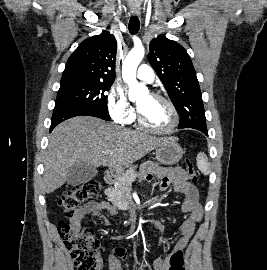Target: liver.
Segmentation results:
<instances>
[{"label":"liver","mask_w":267,"mask_h":270,"mask_svg":"<svg viewBox=\"0 0 267 270\" xmlns=\"http://www.w3.org/2000/svg\"><path fill=\"white\" fill-rule=\"evenodd\" d=\"M168 139L95 117L78 116L66 120L49 136L44 158V191L49 194L63 186L68 169L76 163L121 170Z\"/></svg>","instance_id":"liver-1"}]
</instances>
